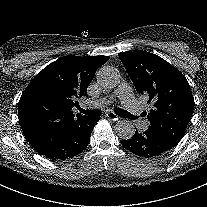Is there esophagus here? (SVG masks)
<instances>
[{"label": "esophagus", "instance_id": "esophagus-1", "mask_svg": "<svg viewBox=\"0 0 207 207\" xmlns=\"http://www.w3.org/2000/svg\"><path fill=\"white\" fill-rule=\"evenodd\" d=\"M106 117L110 120H113V121H117L119 119V116L116 113L112 112V111L106 113Z\"/></svg>", "mask_w": 207, "mask_h": 207}]
</instances>
